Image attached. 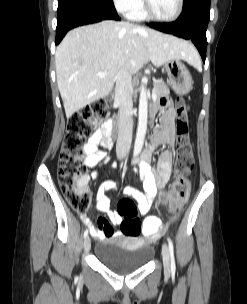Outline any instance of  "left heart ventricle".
Listing matches in <instances>:
<instances>
[{
  "mask_svg": "<svg viewBox=\"0 0 247 304\" xmlns=\"http://www.w3.org/2000/svg\"><path fill=\"white\" fill-rule=\"evenodd\" d=\"M152 12L160 18L171 17L178 6V0H148Z\"/></svg>",
  "mask_w": 247,
  "mask_h": 304,
  "instance_id": "obj_1",
  "label": "left heart ventricle"
}]
</instances>
